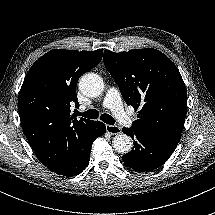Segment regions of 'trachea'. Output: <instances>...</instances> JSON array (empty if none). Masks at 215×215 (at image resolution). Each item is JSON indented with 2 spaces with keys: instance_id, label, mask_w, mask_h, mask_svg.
I'll use <instances>...</instances> for the list:
<instances>
[{
  "instance_id": "trachea-1",
  "label": "trachea",
  "mask_w": 215,
  "mask_h": 215,
  "mask_svg": "<svg viewBox=\"0 0 215 215\" xmlns=\"http://www.w3.org/2000/svg\"><path fill=\"white\" fill-rule=\"evenodd\" d=\"M81 116H83L85 118H88V119H97L98 116H99V112L97 110H95V109H89L86 112H83L81 114ZM100 119L103 122H105L106 124H109V125H113L114 124V119L109 114H106V113L101 114Z\"/></svg>"
}]
</instances>
